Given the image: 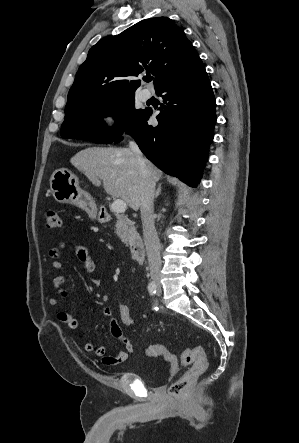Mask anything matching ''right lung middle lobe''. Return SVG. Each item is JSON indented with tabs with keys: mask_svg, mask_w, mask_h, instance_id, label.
Returning <instances> with one entry per match:
<instances>
[{
	"mask_svg": "<svg viewBox=\"0 0 299 443\" xmlns=\"http://www.w3.org/2000/svg\"><path fill=\"white\" fill-rule=\"evenodd\" d=\"M135 94L82 102L65 108L61 127L63 138L82 139L94 143H111L143 110L135 109ZM115 116L113 130L103 128V117Z\"/></svg>",
	"mask_w": 299,
	"mask_h": 443,
	"instance_id": "dd1d6c3e",
	"label": "right lung middle lobe"
}]
</instances>
